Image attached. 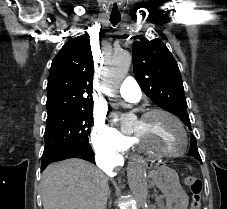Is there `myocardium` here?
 <instances>
[{
    "instance_id": "1",
    "label": "myocardium",
    "mask_w": 227,
    "mask_h": 209,
    "mask_svg": "<svg viewBox=\"0 0 227 209\" xmlns=\"http://www.w3.org/2000/svg\"><path fill=\"white\" fill-rule=\"evenodd\" d=\"M157 113H161L166 115L167 117H169L171 120H173L177 126L180 128L182 135H183V145L180 149L178 150H174V151H168V152H164V151H159L157 149L152 148L151 146H149L145 141H143L136 133H134V139L135 141L141 146L142 149H144L148 154L154 156V157H158V158H171V157H176L179 156L181 154H183L189 144V138H188V133H187V129L185 127V125L183 124V122L180 120V118L178 116H176L174 113H172L171 111L165 109V108H151L146 110L142 115L140 120L147 118L149 116H152L154 114Z\"/></svg>"
}]
</instances>
